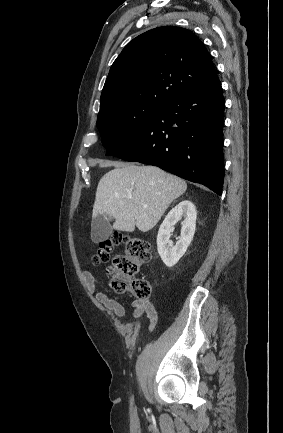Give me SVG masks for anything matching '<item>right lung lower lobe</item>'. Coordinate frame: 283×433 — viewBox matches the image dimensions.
I'll return each mask as SVG.
<instances>
[{"label":"right lung lower lobe","mask_w":283,"mask_h":433,"mask_svg":"<svg viewBox=\"0 0 283 433\" xmlns=\"http://www.w3.org/2000/svg\"><path fill=\"white\" fill-rule=\"evenodd\" d=\"M223 123L224 97L217 78L164 105L131 144L114 156L158 166L221 195Z\"/></svg>","instance_id":"98d812e1"}]
</instances>
